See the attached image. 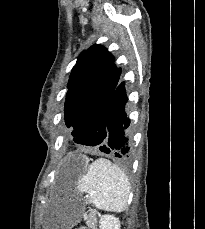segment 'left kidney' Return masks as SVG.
Returning a JSON list of instances; mask_svg holds the SVG:
<instances>
[{"mask_svg":"<svg viewBox=\"0 0 205 229\" xmlns=\"http://www.w3.org/2000/svg\"><path fill=\"white\" fill-rule=\"evenodd\" d=\"M99 223L100 229H120V221L113 215H103Z\"/></svg>","mask_w":205,"mask_h":229,"instance_id":"left-kidney-1","label":"left kidney"}]
</instances>
